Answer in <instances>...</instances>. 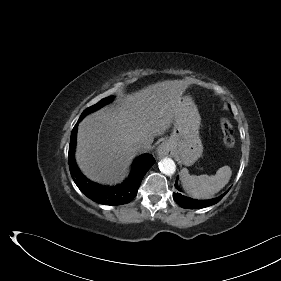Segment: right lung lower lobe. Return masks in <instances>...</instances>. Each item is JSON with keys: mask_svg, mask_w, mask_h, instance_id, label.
Masks as SVG:
<instances>
[{"mask_svg": "<svg viewBox=\"0 0 281 281\" xmlns=\"http://www.w3.org/2000/svg\"><path fill=\"white\" fill-rule=\"evenodd\" d=\"M84 117L79 118L71 133L69 145L68 163L71 176L81 192L93 201L105 205H121L129 203L136 195L141 181L155 163L151 154H144L136 158L133 164L132 172L128 179L115 187H106L88 180L79 171L75 159L74 149L76 144V134L78 123Z\"/></svg>", "mask_w": 281, "mask_h": 281, "instance_id": "1", "label": "right lung lower lobe"}]
</instances>
